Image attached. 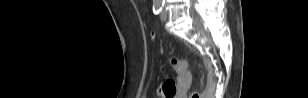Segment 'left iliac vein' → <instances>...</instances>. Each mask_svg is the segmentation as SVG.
<instances>
[{"label":"left iliac vein","mask_w":308,"mask_h":98,"mask_svg":"<svg viewBox=\"0 0 308 98\" xmlns=\"http://www.w3.org/2000/svg\"><path fill=\"white\" fill-rule=\"evenodd\" d=\"M167 18H168V13H167V11L165 9H163L162 12H161V15H160V19L162 21H166Z\"/></svg>","instance_id":"1"}]
</instances>
